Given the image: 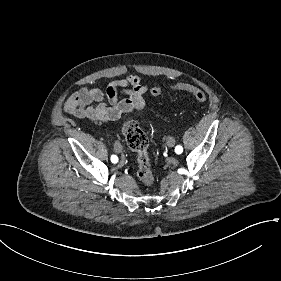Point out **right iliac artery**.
<instances>
[{
	"mask_svg": "<svg viewBox=\"0 0 281 281\" xmlns=\"http://www.w3.org/2000/svg\"><path fill=\"white\" fill-rule=\"evenodd\" d=\"M111 161H112V163L118 162V157L115 156V155H112V156H111Z\"/></svg>",
	"mask_w": 281,
	"mask_h": 281,
	"instance_id": "obj_1",
	"label": "right iliac artery"
}]
</instances>
